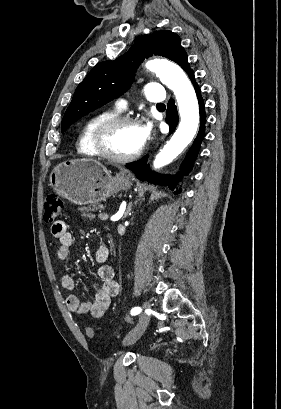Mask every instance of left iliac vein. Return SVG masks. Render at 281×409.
<instances>
[{
    "label": "left iliac vein",
    "instance_id": "1",
    "mask_svg": "<svg viewBox=\"0 0 281 409\" xmlns=\"http://www.w3.org/2000/svg\"><path fill=\"white\" fill-rule=\"evenodd\" d=\"M143 307L145 309V314H143L140 317L139 323L137 324L135 329L126 336V338H125V340L123 342L124 346H129V345L133 344L144 333V331H145V329H146V327L148 325L149 312L151 311V305H150L149 302L146 301L143 304Z\"/></svg>",
    "mask_w": 281,
    "mask_h": 409
}]
</instances>
